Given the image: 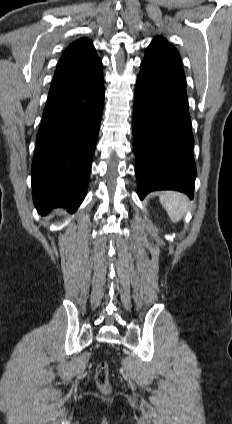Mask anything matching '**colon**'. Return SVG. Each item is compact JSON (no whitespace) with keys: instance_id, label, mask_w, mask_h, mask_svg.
I'll use <instances>...</instances> for the list:
<instances>
[{"instance_id":"obj_1","label":"colon","mask_w":232,"mask_h":424,"mask_svg":"<svg viewBox=\"0 0 232 424\" xmlns=\"http://www.w3.org/2000/svg\"><path fill=\"white\" fill-rule=\"evenodd\" d=\"M95 380L97 386L102 391H109L110 389V381H109V367L106 362H101L96 369Z\"/></svg>"}]
</instances>
